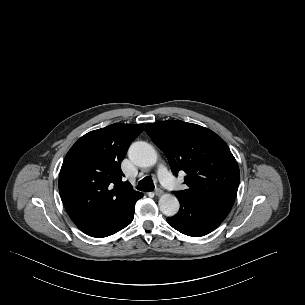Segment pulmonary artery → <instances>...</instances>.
<instances>
[{
  "label": "pulmonary artery",
  "mask_w": 305,
  "mask_h": 305,
  "mask_svg": "<svg viewBox=\"0 0 305 305\" xmlns=\"http://www.w3.org/2000/svg\"><path fill=\"white\" fill-rule=\"evenodd\" d=\"M157 173L161 183L164 186L168 188L174 187L175 185L174 178L171 176L166 166L164 165L159 166Z\"/></svg>",
  "instance_id": "e3ab8cb5"
}]
</instances>
